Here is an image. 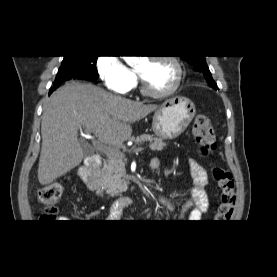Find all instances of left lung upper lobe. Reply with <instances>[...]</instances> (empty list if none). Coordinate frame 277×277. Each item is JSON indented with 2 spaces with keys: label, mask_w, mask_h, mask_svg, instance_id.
<instances>
[{
  "label": "left lung upper lobe",
  "mask_w": 277,
  "mask_h": 277,
  "mask_svg": "<svg viewBox=\"0 0 277 277\" xmlns=\"http://www.w3.org/2000/svg\"><path fill=\"white\" fill-rule=\"evenodd\" d=\"M181 58L193 65L197 71L203 73L207 83L212 88L217 89V84L212 78L204 56H181Z\"/></svg>",
  "instance_id": "left-lung-upper-lobe-1"
}]
</instances>
